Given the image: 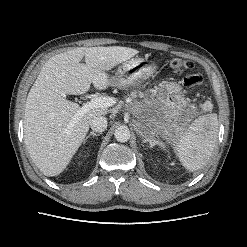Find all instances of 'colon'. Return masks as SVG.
<instances>
[{"label": "colon", "instance_id": "obj_1", "mask_svg": "<svg viewBox=\"0 0 247 247\" xmlns=\"http://www.w3.org/2000/svg\"><path fill=\"white\" fill-rule=\"evenodd\" d=\"M169 67L173 73L182 75V82L186 87H194L202 82V76L194 72V64L190 60L172 58Z\"/></svg>", "mask_w": 247, "mask_h": 247}]
</instances>
